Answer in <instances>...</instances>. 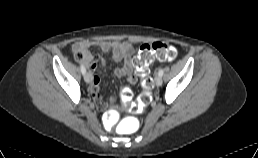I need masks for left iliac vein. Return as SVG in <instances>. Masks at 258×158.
<instances>
[{
  "label": "left iliac vein",
  "instance_id": "obj_1",
  "mask_svg": "<svg viewBox=\"0 0 258 158\" xmlns=\"http://www.w3.org/2000/svg\"><path fill=\"white\" fill-rule=\"evenodd\" d=\"M155 84L157 85V86H161L162 85V77L161 76H156L155 77Z\"/></svg>",
  "mask_w": 258,
  "mask_h": 158
}]
</instances>
